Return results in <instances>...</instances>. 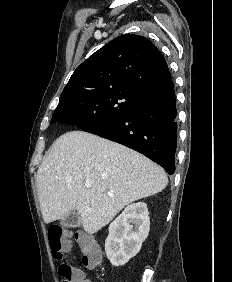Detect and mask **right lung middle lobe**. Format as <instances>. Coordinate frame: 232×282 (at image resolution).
I'll return each mask as SVG.
<instances>
[{
	"mask_svg": "<svg viewBox=\"0 0 232 282\" xmlns=\"http://www.w3.org/2000/svg\"><path fill=\"white\" fill-rule=\"evenodd\" d=\"M145 97L126 89H111L79 95L60 101L51 123L76 125L81 129L126 114L136 109Z\"/></svg>",
	"mask_w": 232,
	"mask_h": 282,
	"instance_id": "obj_1",
	"label": "right lung middle lobe"
}]
</instances>
